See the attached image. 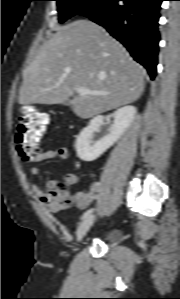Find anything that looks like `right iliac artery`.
Here are the masks:
<instances>
[{
    "label": "right iliac artery",
    "mask_w": 180,
    "mask_h": 299,
    "mask_svg": "<svg viewBox=\"0 0 180 299\" xmlns=\"http://www.w3.org/2000/svg\"><path fill=\"white\" fill-rule=\"evenodd\" d=\"M94 211V208L88 209L81 217V220L85 219L86 217L90 216L91 213Z\"/></svg>",
    "instance_id": "1"
}]
</instances>
